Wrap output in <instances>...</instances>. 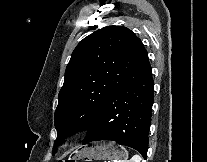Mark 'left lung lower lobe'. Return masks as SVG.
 <instances>
[{
  "instance_id": "obj_1",
  "label": "left lung lower lobe",
  "mask_w": 207,
  "mask_h": 162,
  "mask_svg": "<svg viewBox=\"0 0 207 162\" xmlns=\"http://www.w3.org/2000/svg\"><path fill=\"white\" fill-rule=\"evenodd\" d=\"M153 89L147 55L104 103L82 143L115 141L137 150L146 159Z\"/></svg>"
}]
</instances>
